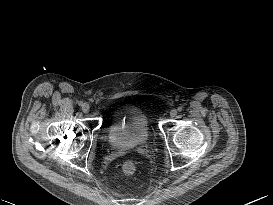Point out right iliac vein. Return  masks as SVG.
<instances>
[{
	"label": "right iliac vein",
	"instance_id": "63e3f726",
	"mask_svg": "<svg viewBox=\"0 0 273 205\" xmlns=\"http://www.w3.org/2000/svg\"><path fill=\"white\" fill-rule=\"evenodd\" d=\"M89 109H90V106H89L87 103H84V104L82 105V111H83L84 113H88V112H89Z\"/></svg>",
	"mask_w": 273,
	"mask_h": 205
}]
</instances>
